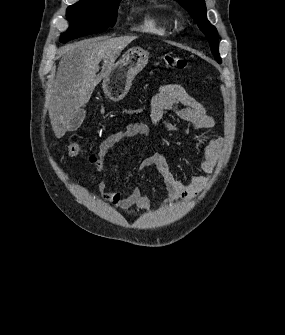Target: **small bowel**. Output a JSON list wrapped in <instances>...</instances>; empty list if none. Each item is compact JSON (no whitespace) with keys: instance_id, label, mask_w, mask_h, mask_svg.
Masks as SVG:
<instances>
[{"instance_id":"c3829d8e","label":"small bowel","mask_w":285,"mask_h":335,"mask_svg":"<svg viewBox=\"0 0 285 335\" xmlns=\"http://www.w3.org/2000/svg\"><path fill=\"white\" fill-rule=\"evenodd\" d=\"M167 112L173 113L183 124L177 125L166 120ZM150 119L154 125L165 132L185 135L211 128L215 123L206 107L182 86L175 83H167L159 87L151 100ZM137 136L150 137V128L143 122H132L126 125L123 130L113 134L101 144L98 154L90 157V163L95 167H102L108 161L113 147ZM221 148L220 138L210 140L201 149V157L197 162L198 169L204 174L193 176L187 181L178 179L173 174L167 158L160 152L142 159L138 168L139 170L147 167L157 169L168 192L164 206H171L178 200H190L202 191L208 182L209 175L214 171ZM97 189L105 201L122 210L134 213L132 206H136L141 211L149 209L150 198L139 188H134L129 193H124L122 190L111 191L105 182L100 181L97 183Z\"/></svg>"}]
</instances>
